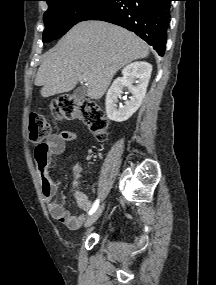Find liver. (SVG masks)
Here are the masks:
<instances>
[{
    "mask_svg": "<svg viewBox=\"0 0 216 285\" xmlns=\"http://www.w3.org/2000/svg\"><path fill=\"white\" fill-rule=\"evenodd\" d=\"M148 45L134 33L102 21L75 25L40 65L35 85L47 98L67 93L85 77L87 96L100 99L114 75L128 63L146 58Z\"/></svg>",
    "mask_w": 216,
    "mask_h": 285,
    "instance_id": "6515ba94",
    "label": "liver"
}]
</instances>
